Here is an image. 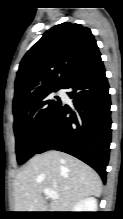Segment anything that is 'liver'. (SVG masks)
Here are the masks:
<instances>
[{"label": "liver", "mask_w": 123, "mask_h": 219, "mask_svg": "<svg viewBox=\"0 0 123 219\" xmlns=\"http://www.w3.org/2000/svg\"><path fill=\"white\" fill-rule=\"evenodd\" d=\"M44 189H51L59 198L48 207ZM102 181L90 166L58 151L35 155L14 180L15 212H70L81 200L100 197Z\"/></svg>", "instance_id": "6515ba94"}]
</instances>
